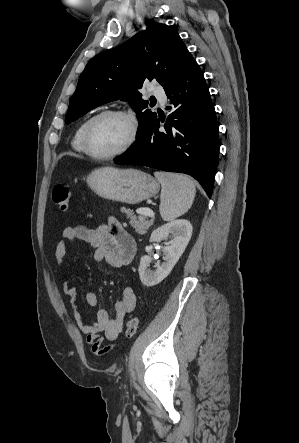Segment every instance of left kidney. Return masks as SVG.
<instances>
[{"label":"left kidney","mask_w":299,"mask_h":443,"mask_svg":"<svg viewBox=\"0 0 299 443\" xmlns=\"http://www.w3.org/2000/svg\"><path fill=\"white\" fill-rule=\"evenodd\" d=\"M192 229L188 220L179 219L158 227L152 232L150 242L164 241L165 257L163 263H155L156 269L154 271L148 269L152 258L150 256L141 258L139 276L144 285L154 286L169 275L185 251L192 236Z\"/></svg>","instance_id":"5707ae66"}]
</instances>
